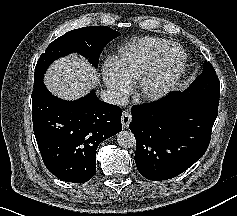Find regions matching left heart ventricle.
Instances as JSON below:
<instances>
[{
	"label": "left heart ventricle",
	"instance_id": "obj_1",
	"mask_svg": "<svg viewBox=\"0 0 237 216\" xmlns=\"http://www.w3.org/2000/svg\"><path fill=\"white\" fill-rule=\"evenodd\" d=\"M181 63L179 51L171 47L161 57L153 74L147 81V89L153 90L159 85L171 81L177 74Z\"/></svg>",
	"mask_w": 237,
	"mask_h": 216
}]
</instances>
